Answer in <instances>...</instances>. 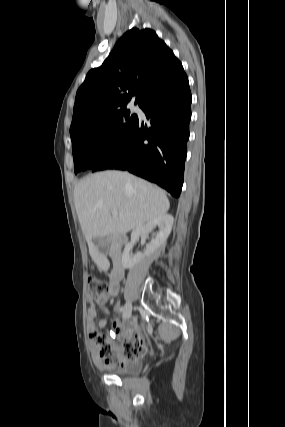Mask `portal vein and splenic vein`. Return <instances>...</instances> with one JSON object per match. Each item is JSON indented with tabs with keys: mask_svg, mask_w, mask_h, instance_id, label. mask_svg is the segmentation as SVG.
I'll use <instances>...</instances> for the list:
<instances>
[{
	"mask_svg": "<svg viewBox=\"0 0 285 427\" xmlns=\"http://www.w3.org/2000/svg\"><path fill=\"white\" fill-rule=\"evenodd\" d=\"M111 213H112V216H117L118 215V211H116V210H113Z\"/></svg>",
	"mask_w": 285,
	"mask_h": 427,
	"instance_id": "1",
	"label": "portal vein and splenic vein"
}]
</instances>
